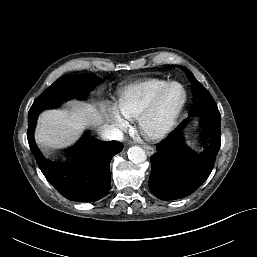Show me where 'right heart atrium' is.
<instances>
[{
	"mask_svg": "<svg viewBox=\"0 0 257 257\" xmlns=\"http://www.w3.org/2000/svg\"><path fill=\"white\" fill-rule=\"evenodd\" d=\"M109 111H110L109 121L111 123V126L115 130H124L127 127L128 123L126 119L122 116V114L119 112L117 107L110 106Z\"/></svg>",
	"mask_w": 257,
	"mask_h": 257,
	"instance_id": "d8ad5b80",
	"label": "right heart atrium"
}]
</instances>
